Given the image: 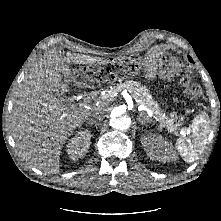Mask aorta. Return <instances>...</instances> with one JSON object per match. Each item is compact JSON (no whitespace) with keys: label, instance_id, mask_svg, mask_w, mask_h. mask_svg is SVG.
Wrapping results in <instances>:
<instances>
[{"label":"aorta","instance_id":"1","mask_svg":"<svg viewBox=\"0 0 221 221\" xmlns=\"http://www.w3.org/2000/svg\"><path fill=\"white\" fill-rule=\"evenodd\" d=\"M110 125L116 130L124 131L130 127L131 118L125 109L117 107L111 112Z\"/></svg>","mask_w":221,"mask_h":221}]
</instances>
